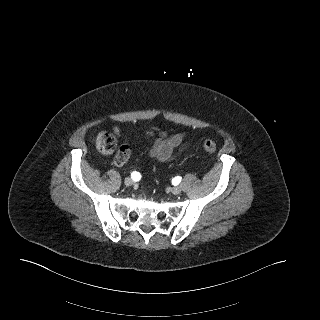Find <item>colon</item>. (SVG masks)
Wrapping results in <instances>:
<instances>
[{
    "label": "colon",
    "mask_w": 320,
    "mask_h": 320,
    "mask_svg": "<svg viewBox=\"0 0 320 320\" xmlns=\"http://www.w3.org/2000/svg\"><path fill=\"white\" fill-rule=\"evenodd\" d=\"M96 145L98 149L105 153H112L117 146L115 137L108 132H101L96 137ZM203 148L209 153H214L217 150V145L213 140L205 139L203 141ZM129 158V154L126 149L121 147L115 155V162L118 165L123 164Z\"/></svg>",
    "instance_id": "5ec220e1"
}]
</instances>
